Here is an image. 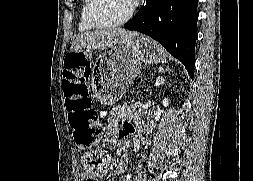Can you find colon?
<instances>
[{"label": "colon", "instance_id": "1", "mask_svg": "<svg viewBox=\"0 0 253 181\" xmlns=\"http://www.w3.org/2000/svg\"><path fill=\"white\" fill-rule=\"evenodd\" d=\"M79 63L78 53L66 56L63 90L74 141L79 147L89 148L102 137L101 114L92 107L86 77L79 71ZM108 163L109 155L101 149L91 150L83 156V166L91 175L101 174Z\"/></svg>", "mask_w": 253, "mask_h": 181}]
</instances>
